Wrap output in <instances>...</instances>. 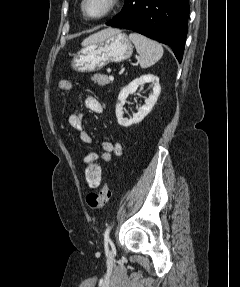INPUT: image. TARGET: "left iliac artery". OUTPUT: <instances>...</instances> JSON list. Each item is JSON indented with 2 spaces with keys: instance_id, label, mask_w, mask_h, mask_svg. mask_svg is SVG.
Wrapping results in <instances>:
<instances>
[{
  "instance_id": "left-iliac-artery-1",
  "label": "left iliac artery",
  "mask_w": 240,
  "mask_h": 287,
  "mask_svg": "<svg viewBox=\"0 0 240 287\" xmlns=\"http://www.w3.org/2000/svg\"><path fill=\"white\" fill-rule=\"evenodd\" d=\"M111 227L112 226H108L107 229L105 230V233H104V242H105L106 246L110 242L109 233H110Z\"/></svg>"
}]
</instances>
